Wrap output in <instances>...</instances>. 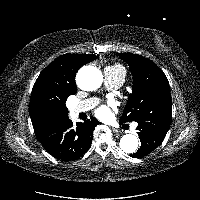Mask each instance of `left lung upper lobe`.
<instances>
[{"mask_svg": "<svg viewBox=\"0 0 200 200\" xmlns=\"http://www.w3.org/2000/svg\"><path fill=\"white\" fill-rule=\"evenodd\" d=\"M133 75L130 95L120 122L151 123L169 129L172 99L169 82L163 71L152 61L133 53L119 54Z\"/></svg>", "mask_w": 200, "mask_h": 200, "instance_id": "1", "label": "left lung upper lobe"}]
</instances>
